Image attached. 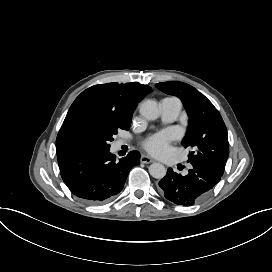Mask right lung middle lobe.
<instances>
[{
	"mask_svg": "<svg viewBox=\"0 0 272 272\" xmlns=\"http://www.w3.org/2000/svg\"><path fill=\"white\" fill-rule=\"evenodd\" d=\"M119 129L115 123L84 118L71 136L68 150L109 149V142Z\"/></svg>",
	"mask_w": 272,
	"mask_h": 272,
	"instance_id": "right-lung-middle-lobe-1",
	"label": "right lung middle lobe"
}]
</instances>
